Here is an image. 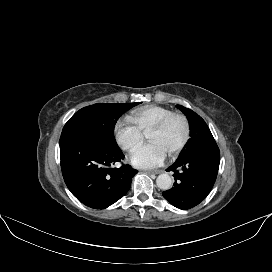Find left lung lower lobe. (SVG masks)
<instances>
[{"label":"left lung lower lobe","instance_id":"left-lung-lower-lobe-1","mask_svg":"<svg viewBox=\"0 0 272 272\" xmlns=\"http://www.w3.org/2000/svg\"><path fill=\"white\" fill-rule=\"evenodd\" d=\"M220 151L216 142L183 154L167 171H173L174 187L162 194L172 205L190 209L211 191L219 169Z\"/></svg>","mask_w":272,"mask_h":272}]
</instances>
